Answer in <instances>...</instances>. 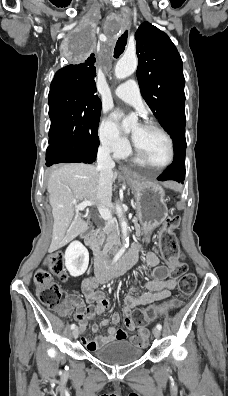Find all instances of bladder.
Returning a JSON list of instances; mask_svg holds the SVG:
<instances>
[{
  "instance_id": "bladder-1",
  "label": "bladder",
  "mask_w": 228,
  "mask_h": 396,
  "mask_svg": "<svg viewBox=\"0 0 228 396\" xmlns=\"http://www.w3.org/2000/svg\"><path fill=\"white\" fill-rule=\"evenodd\" d=\"M90 354L105 364L121 366L139 360L144 354V348L131 341L114 340L90 350Z\"/></svg>"
}]
</instances>
